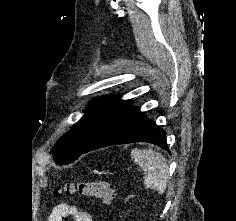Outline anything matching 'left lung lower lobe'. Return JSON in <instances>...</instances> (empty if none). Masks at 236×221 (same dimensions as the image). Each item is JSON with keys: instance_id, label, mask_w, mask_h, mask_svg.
Wrapping results in <instances>:
<instances>
[{"instance_id": "0a47b994", "label": "left lung lower lobe", "mask_w": 236, "mask_h": 221, "mask_svg": "<svg viewBox=\"0 0 236 221\" xmlns=\"http://www.w3.org/2000/svg\"><path fill=\"white\" fill-rule=\"evenodd\" d=\"M127 105L122 103L105 119L78 157L101 147L132 142H149L168 151L166 132L139 108Z\"/></svg>"}]
</instances>
